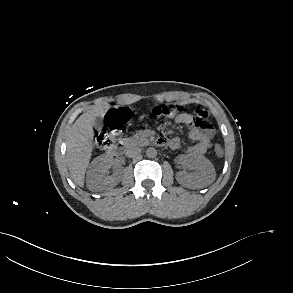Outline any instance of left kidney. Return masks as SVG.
Here are the masks:
<instances>
[{
	"mask_svg": "<svg viewBox=\"0 0 293 293\" xmlns=\"http://www.w3.org/2000/svg\"><path fill=\"white\" fill-rule=\"evenodd\" d=\"M183 162L195 169L193 174L185 172L176 173V180L181 185H193L203 188L211 184L215 179L213 164L202 155H184Z\"/></svg>",
	"mask_w": 293,
	"mask_h": 293,
	"instance_id": "left-kidney-1",
	"label": "left kidney"
}]
</instances>
